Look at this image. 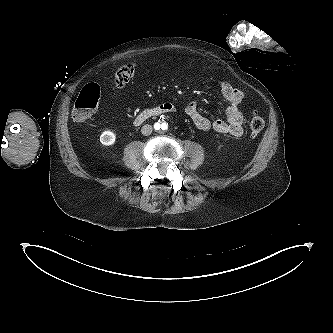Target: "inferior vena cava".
I'll use <instances>...</instances> for the list:
<instances>
[{"mask_svg": "<svg viewBox=\"0 0 333 333\" xmlns=\"http://www.w3.org/2000/svg\"><path fill=\"white\" fill-rule=\"evenodd\" d=\"M152 131H153V128L149 124L144 125L141 129V133L145 136L150 135L152 133Z\"/></svg>", "mask_w": 333, "mask_h": 333, "instance_id": "602c4592", "label": "inferior vena cava"}]
</instances>
